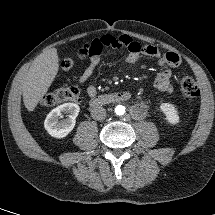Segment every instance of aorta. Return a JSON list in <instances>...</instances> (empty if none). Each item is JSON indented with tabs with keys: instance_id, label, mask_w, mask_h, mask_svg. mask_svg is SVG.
<instances>
[{
	"instance_id": "obj_1",
	"label": "aorta",
	"mask_w": 215,
	"mask_h": 215,
	"mask_svg": "<svg viewBox=\"0 0 215 215\" xmlns=\"http://www.w3.org/2000/svg\"><path fill=\"white\" fill-rule=\"evenodd\" d=\"M115 113L117 114V115H124V113H125V107L124 106H122V105H118L116 108H115Z\"/></svg>"
}]
</instances>
